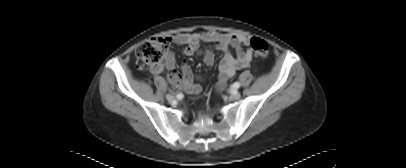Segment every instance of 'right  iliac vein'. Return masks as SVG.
<instances>
[{
    "label": "right iliac vein",
    "instance_id": "obj_1",
    "mask_svg": "<svg viewBox=\"0 0 406 168\" xmlns=\"http://www.w3.org/2000/svg\"><path fill=\"white\" fill-rule=\"evenodd\" d=\"M166 98H167V100H168L169 102H173L174 99H175V97H174L173 95H171V94H167V95H166Z\"/></svg>",
    "mask_w": 406,
    "mask_h": 168
}]
</instances>
